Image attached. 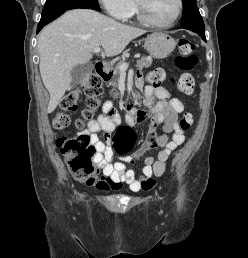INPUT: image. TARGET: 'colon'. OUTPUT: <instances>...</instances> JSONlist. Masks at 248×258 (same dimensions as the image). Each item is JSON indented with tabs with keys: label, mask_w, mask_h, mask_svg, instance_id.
Here are the masks:
<instances>
[{
	"label": "colon",
	"mask_w": 248,
	"mask_h": 258,
	"mask_svg": "<svg viewBox=\"0 0 248 258\" xmlns=\"http://www.w3.org/2000/svg\"><path fill=\"white\" fill-rule=\"evenodd\" d=\"M194 43L182 38L178 42V55L176 57V66L183 71L178 79V89L182 94L191 95L194 92L195 80L188 73L193 71L197 65V58L193 54ZM165 72L161 69H154L147 74V81L153 86H160L165 79ZM102 92V79L96 74H90L84 77L79 87L75 88L69 94L64 96L60 102V110L55 113L52 124L56 129H64L68 126L70 119L68 112L75 109L79 97L84 94L87 97L86 109L82 113V117L77 120L76 124L82 128L85 121L93 118L95 110L99 106V96ZM193 115L185 113L179 125L182 131H186L193 124ZM133 143L132 129L126 126L120 127L115 136L114 144L117 152L125 156L128 154ZM57 145L65 157L68 169L72 176L78 180L85 182L87 180H96L94 177L95 167L93 159L96 154V147L92 143L87 134H80L76 137H60Z\"/></svg>",
	"instance_id": "obj_1"
}]
</instances>
